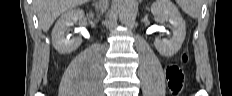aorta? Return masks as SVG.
Masks as SVG:
<instances>
[{"label": "aorta", "mask_w": 232, "mask_h": 96, "mask_svg": "<svg viewBox=\"0 0 232 96\" xmlns=\"http://www.w3.org/2000/svg\"><path fill=\"white\" fill-rule=\"evenodd\" d=\"M134 10V0H118V12L120 20L127 23Z\"/></svg>", "instance_id": "obj_1"}]
</instances>
